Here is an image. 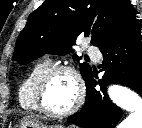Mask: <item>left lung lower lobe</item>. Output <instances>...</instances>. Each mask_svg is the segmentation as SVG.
Returning a JSON list of instances; mask_svg holds the SVG:
<instances>
[{
	"mask_svg": "<svg viewBox=\"0 0 142 128\" xmlns=\"http://www.w3.org/2000/svg\"><path fill=\"white\" fill-rule=\"evenodd\" d=\"M105 71L98 82L93 72L87 79V98L80 113L68 122L83 128H115L122 117V110L111 102L106 86L117 83L135 90L142 97V41L137 23L124 35L100 48ZM99 84L100 90L95 89Z\"/></svg>",
	"mask_w": 142,
	"mask_h": 128,
	"instance_id": "1",
	"label": "left lung lower lobe"
}]
</instances>
